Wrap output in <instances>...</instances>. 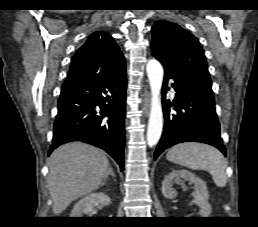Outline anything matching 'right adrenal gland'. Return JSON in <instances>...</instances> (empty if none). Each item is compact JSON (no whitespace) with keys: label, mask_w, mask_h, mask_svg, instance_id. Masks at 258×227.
Listing matches in <instances>:
<instances>
[{"label":"right adrenal gland","mask_w":258,"mask_h":227,"mask_svg":"<svg viewBox=\"0 0 258 227\" xmlns=\"http://www.w3.org/2000/svg\"><path fill=\"white\" fill-rule=\"evenodd\" d=\"M109 174L113 177V178H115V174H114V172H113V170H112V168H109Z\"/></svg>","instance_id":"1"}]
</instances>
